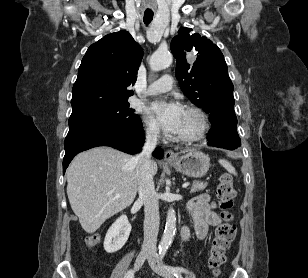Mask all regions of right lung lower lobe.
I'll list each match as a JSON object with an SVG mask.
<instances>
[{
    "label": "right lung lower lobe",
    "mask_w": 308,
    "mask_h": 278,
    "mask_svg": "<svg viewBox=\"0 0 308 278\" xmlns=\"http://www.w3.org/2000/svg\"><path fill=\"white\" fill-rule=\"evenodd\" d=\"M144 143L143 128H121L107 126H83L69 129L64 147L63 174L73 157L81 151L97 146H111L126 153L141 151ZM153 156L163 157V151L157 148Z\"/></svg>",
    "instance_id": "1"
}]
</instances>
